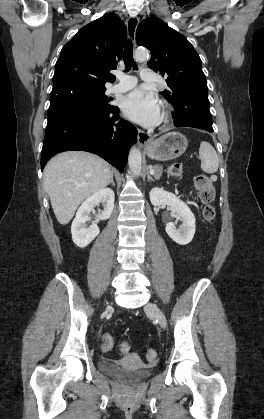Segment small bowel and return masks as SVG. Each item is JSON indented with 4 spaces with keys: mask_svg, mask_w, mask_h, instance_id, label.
<instances>
[{
    "mask_svg": "<svg viewBox=\"0 0 264 419\" xmlns=\"http://www.w3.org/2000/svg\"><path fill=\"white\" fill-rule=\"evenodd\" d=\"M126 342H124V343H122L121 344V346H120V353L122 354V355H127L128 353H129V351L128 352H123V345L125 344Z\"/></svg>",
    "mask_w": 264,
    "mask_h": 419,
    "instance_id": "c3829d8e",
    "label": "small bowel"
}]
</instances>
